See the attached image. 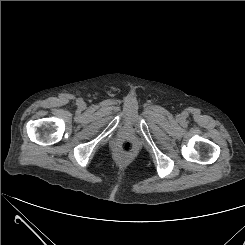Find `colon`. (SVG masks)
Segmentation results:
<instances>
[{"instance_id": "colon-1", "label": "colon", "mask_w": 245, "mask_h": 245, "mask_svg": "<svg viewBox=\"0 0 245 245\" xmlns=\"http://www.w3.org/2000/svg\"><path fill=\"white\" fill-rule=\"evenodd\" d=\"M120 151L126 155L131 154L133 151V145L131 142L125 140L120 144Z\"/></svg>"}]
</instances>
